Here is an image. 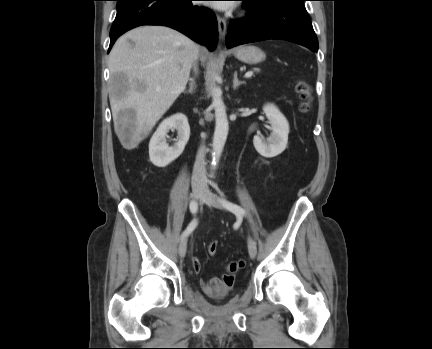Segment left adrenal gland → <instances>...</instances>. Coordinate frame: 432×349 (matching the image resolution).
Listing matches in <instances>:
<instances>
[{"mask_svg": "<svg viewBox=\"0 0 432 349\" xmlns=\"http://www.w3.org/2000/svg\"><path fill=\"white\" fill-rule=\"evenodd\" d=\"M242 84H245V82L238 80L237 72L235 71V73H234V79H233V89L236 90Z\"/></svg>", "mask_w": 432, "mask_h": 349, "instance_id": "a2214340", "label": "left adrenal gland"}]
</instances>
